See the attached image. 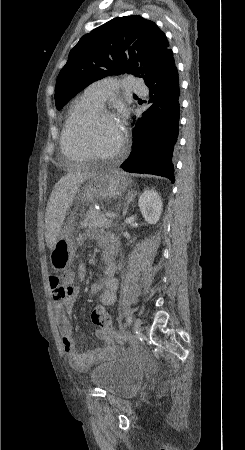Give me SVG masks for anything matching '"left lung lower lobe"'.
<instances>
[{"mask_svg": "<svg viewBox=\"0 0 245 450\" xmlns=\"http://www.w3.org/2000/svg\"><path fill=\"white\" fill-rule=\"evenodd\" d=\"M152 106L133 129V149L121 164L127 172L154 174L174 183L173 149L179 127V79L174 58L147 82Z\"/></svg>", "mask_w": 245, "mask_h": 450, "instance_id": "obj_1", "label": "left lung lower lobe"}]
</instances>
